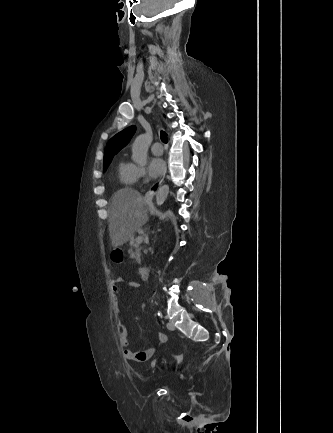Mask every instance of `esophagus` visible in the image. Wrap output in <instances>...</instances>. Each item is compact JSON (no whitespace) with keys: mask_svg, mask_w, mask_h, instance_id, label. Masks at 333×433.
<instances>
[{"mask_svg":"<svg viewBox=\"0 0 333 433\" xmlns=\"http://www.w3.org/2000/svg\"><path fill=\"white\" fill-rule=\"evenodd\" d=\"M166 172H167V168L165 167V169L162 172L160 178L148 189V191L146 192V194L144 196V199L146 201H151L153 199V197L156 195V193L158 192L159 188L161 187V184L164 181Z\"/></svg>","mask_w":333,"mask_h":433,"instance_id":"obj_1","label":"esophagus"}]
</instances>
